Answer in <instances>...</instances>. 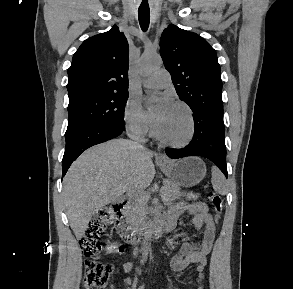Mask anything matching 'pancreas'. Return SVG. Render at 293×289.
Returning a JSON list of instances; mask_svg holds the SVG:
<instances>
[{
  "mask_svg": "<svg viewBox=\"0 0 293 289\" xmlns=\"http://www.w3.org/2000/svg\"><path fill=\"white\" fill-rule=\"evenodd\" d=\"M181 196H186L188 200H196L198 198L197 194L182 193L180 192L179 186L170 181H164V186L161 190V197L165 202H171L176 199H180ZM147 201V197L144 195H138L136 199L129 205V214L137 222H141L145 216L144 205Z\"/></svg>",
  "mask_w": 293,
  "mask_h": 289,
  "instance_id": "cf45deb5",
  "label": "pancreas"
}]
</instances>
